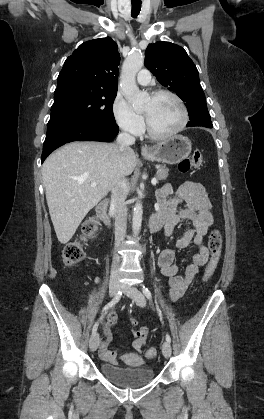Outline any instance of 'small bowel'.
Listing matches in <instances>:
<instances>
[{
    "instance_id": "small-bowel-1",
    "label": "small bowel",
    "mask_w": 264,
    "mask_h": 419,
    "mask_svg": "<svg viewBox=\"0 0 264 419\" xmlns=\"http://www.w3.org/2000/svg\"><path fill=\"white\" fill-rule=\"evenodd\" d=\"M158 211L156 215L164 221V233L169 239L175 227L182 221L187 220L190 226L182 233L177 240L179 249H186L191 244L198 247V251L193 255L192 262L183 273L179 272V267L175 264V252L173 249H164L158 257V265L162 274L169 278L171 286L170 298L180 299L186 292L189 285L200 272V267L211 260L210 252L204 245V237L213 223L211 205L208 200L204 187L200 183L185 181L176 189L169 184L164 185L157 194ZM184 207L178 210V206ZM116 314L110 312L107 315V324L103 328V335L99 341V355L107 363L117 365L119 363L118 354L111 349L112 328L116 323ZM132 347L142 354L147 344L149 336L148 327H137L136 322H131ZM131 354L123 357L124 361L131 362Z\"/></svg>"
}]
</instances>
